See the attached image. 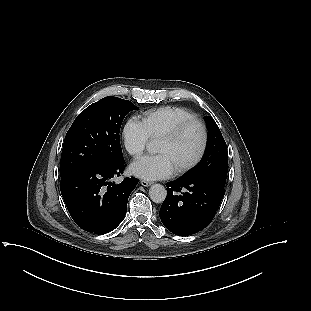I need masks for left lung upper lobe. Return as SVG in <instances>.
I'll use <instances>...</instances> for the list:
<instances>
[{
  "instance_id": "obj_1",
  "label": "left lung upper lobe",
  "mask_w": 311,
  "mask_h": 311,
  "mask_svg": "<svg viewBox=\"0 0 311 311\" xmlns=\"http://www.w3.org/2000/svg\"><path fill=\"white\" fill-rule=\"evenodd\" d=\"M208 129L207 145L201 162L181 178H207L225 186L228 171V156L225 140L214 119L204 117Z\"/></svg>"
}]
</instances>
